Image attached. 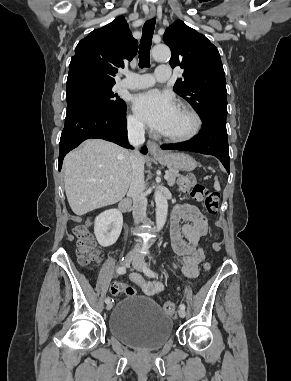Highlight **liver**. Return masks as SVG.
I'll use <instances>...</instances> for the list:
<instances>
[{
    "label": "liver",
    "instance_id": "liver-1",
    "mask_svg": "<svg viewBox=\"0 0 291 381\" xmlns=\"http://www.w3.org/2000/svg\"><path fill=\"white\" fill-rule=\"evenodd\" d=\"M131 153L100 139H89L63 161L65 192L72 211L82 216L115 204L131 182ZM143 163L145 158L142 156Z\"/></svg>",
    "mask_w": 291,
    "mask_h": 381
}]
</instances>
